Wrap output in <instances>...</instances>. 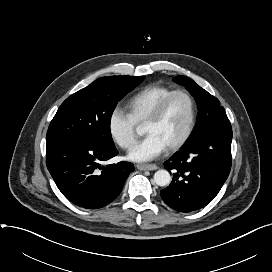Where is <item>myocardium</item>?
<instances>
[{
	"label": "myocardium",
	"instance_id": "obj_1",
	"mask_svg": "<svg viewBox=\"0 0 272 272\" xmlns=\"http://www.w3.org/2000/svg\"><path fill=\"white\" fill-rule=\"evenodd\" d=\"M178 95L184 96L189 103V120H188L186 130L184 134L181 136V138L175 143H173L172 145H170L169 147H167V151L169 152L177 151L183 145H185V143L189 140V138L191 137L194 131L195 124H196V104L192 95L188 91L183 89H177L172 91L158 103V105L155 107V109L153 110V112L150 114V116L145 122V125L158 122L162 118L163 114L165 113L171 100Z\"/></svg>",
	"mask_w": 272,
	"mask_h": 272
}]
</instances>
